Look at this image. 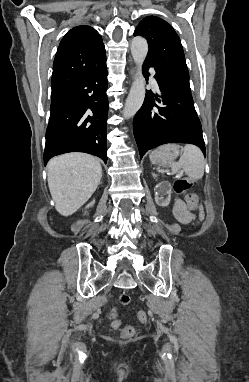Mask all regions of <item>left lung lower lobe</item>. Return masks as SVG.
<instances>
[{
  "label": "left lung lower lobe",
  "mask_w": 249,
  "mask_h": 382,
  "mask_svg": "<svg viewBox=\"0 0 249 382\" xmlns=\"http://www.w3.org/2000/svg\"><path fill=\"white\" fill-rule=\"evenodd\" d=\"M154 67L160 93L146 91L144 103L133 120V132L140 157L150 149L166 143H189L198 146L205 154L200 120L194 108L191 90L156 69L146 59L144 76Z\"/></svg>",
  "instance_id": "obj_1"
}]
</instances>
